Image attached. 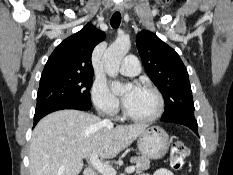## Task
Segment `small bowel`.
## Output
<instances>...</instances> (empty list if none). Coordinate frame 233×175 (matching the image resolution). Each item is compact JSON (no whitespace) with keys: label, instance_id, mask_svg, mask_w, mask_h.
<instances>
[{"label":"small bowel","instance_id":"c3829d8e","mask_svg":"<svg viewBox=\"0 0 233 175\" xmlns=\"http://www.w3.org/2000/svg\"><path fill=\"white\" fill-rule=\"evenodd\" d=\"M139 175H150V174H148V173H141ZM154 175H174V174L170 170L162 168V169L157 170Z\"/></svg>","mask_w":233,"mask_h":175}]
</instances>
